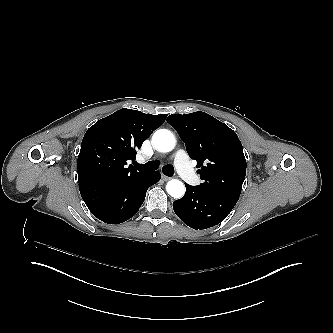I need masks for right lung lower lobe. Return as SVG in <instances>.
<instances>
[{
	"label": "right lung lower lobe",
	"instance_id": "98d812e1",
	"mask_svg": "<svg viewBox=\"0 0 333 333\" xmlns=\"http://www.w3.org/2000/svg\"><path fill=\"white\" fill-rule=\"evenodd\" d=\"M160 178L158 171H140L114 181L96 179L79 182V190L95 217L108 224H119L137 213L147 189Z\"/></svg>",
	"mask_w": 333,
	"mask_h": 333
}]
</instances>
